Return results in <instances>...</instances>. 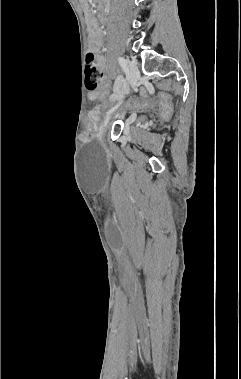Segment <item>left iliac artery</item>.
Returning <instances> with one entry per match:
<instances>
[{
	"label": "left iliac artery",
	"instance_id": "1",
	"mask_svg": "<svg viewBox=\"0 0 241 379\" xmlns=\"http://www.w3.org/2000/svg\"><path fill=\"white\" fill-rule=\"evenodd\" d=\"M118 62L124 71H127V62L123 57H118Z\"/></svg>",
	"mask_w": 241,
	"mask_h": 379
}]
</instances>
